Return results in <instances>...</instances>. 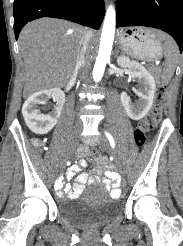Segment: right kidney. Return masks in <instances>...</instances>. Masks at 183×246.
Wrapping results in <instances>:
<instances>
[{"label":"right kidney","instance_id":"1","mask_svg":"<svg viewBox=\"0 0 183 246\" xmlns=\"http://www.w3.org/2000/svg\"><path fill=\"white\" fill-rule=\"evenodd\" d=\"M49 98L56 102L54 110L43 114L39 106L45 104ZM65 102V94L59 88L38 91L28 97L22 107V114L28 128L35 134H46L51 131L61 115Z\"/></svg>","mask_w":183,"mask_h":246}]
</instances>
